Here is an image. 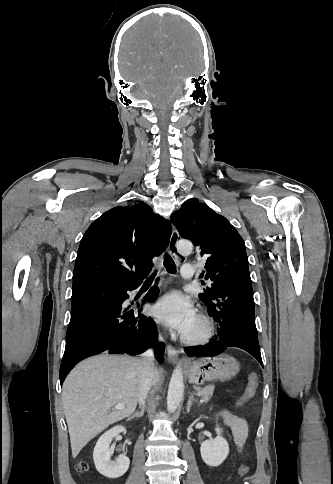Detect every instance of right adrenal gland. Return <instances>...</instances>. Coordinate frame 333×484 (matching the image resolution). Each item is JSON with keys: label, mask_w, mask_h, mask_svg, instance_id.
Returning a JSON list of instances; mask_svg holds the SVG:
<instances>
[{"label": "right adrenal gland", "mask_w": 333, "mask_h": 484, "mask_svg": "<svg viewBox=\"0 0 333 484\" xmlns=\"http://www.w3.org/2000/svg\"><path fill=\"white\" fill-rule=\"evenodd\" d=\"M144 412H145V406H142L141 411L134 413L131 417L128 418V420L134 419V417L141 418L143 417Z\"/></svg>", "instance_id": "1"}]
</instances>
